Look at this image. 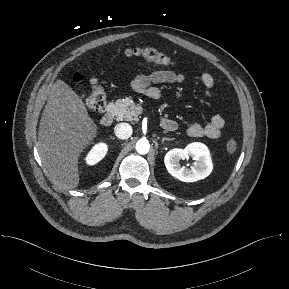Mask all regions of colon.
Returning <instances> with one entry per match:
<instances>
[{
    "label": "colon",
    "mask_w": 289,
    "mask_h": 289,
    "mask_svg": "<svg viewBox=\"0 0 289 289\" xmlns=\"http://www.w3.org/2000/svg\"><path fill=\"white\" fill-rule=\"evenodd\" d=\"M125 55L131 58H142L160 66L167 67L175 64L171 57L151 46L129 48L126 50ZM76 81H79V78H76ZM83 100L89 109L97 112L103 111L106 107V94L95 80L92 81V90L84 95ZM226 150L229 153H234L237 150V142L234 139H229L226 143Z\"/></svg>",
    "instance_id": "colon-1"
}]
</instances>
